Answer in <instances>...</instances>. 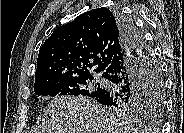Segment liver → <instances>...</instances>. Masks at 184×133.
I'll return each mask as SVG.
<instances>
[{
	"label": "liver",
	"mask_w": 184,
	"mask_h": 133,
	"mask_svg": "<svg viewBox=\"0 0 184 133\" xmlns=\"http://www.w3.org/2000/svg\"><path fill=\"white\" fill-rule=\"evenodd\" d=\"M89 97L61 96L44 109L37 133H138ZM143 133V132H141Z\"/></svg>",
	"instance_id": "1"
}]
</instances>
